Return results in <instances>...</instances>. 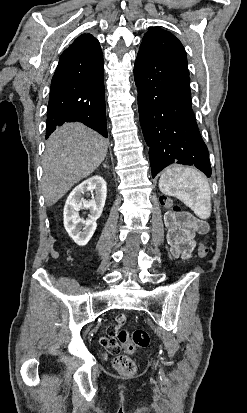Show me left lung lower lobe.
<instances>
[{
  "instance_id": "0a47b994",
  "label": "left lung lower lobe",
  "mask_w": 247,
  "mask_h": 413,
  "mask_svg": "<svg viewBox=\"0 0 247 413\" xmlns=\"http://www.w3.org/2000/svg\"><path fill=\"white\" fill-rule=\"evenodd\" d=\"M134 78L152 177L172 163L194 165L210 177L208 150L191 107L189 73L140 49Z\"/></svg>"
}]
</instances>
